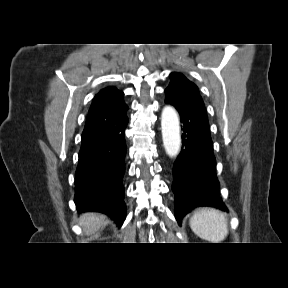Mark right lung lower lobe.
Segmentation results:
<instances>
[{
  "mask_svg": "<svg viewBox=\"0 0 288 288\" xmlns=\"http://www.w3.org/2000/svg\"><path fill=\"white\" fill-rule=\"evenodd\" d=\"M127 123L113 138L80 149L75 176L74 202L78 212L104 213L118 226L126 218L123 180Z\"/></svg>",
  "mask_w": 288,
  "mask_h": 288,
  "instance_id": "1",
  "label": "right lung lower lobe"
}]
</instances>
